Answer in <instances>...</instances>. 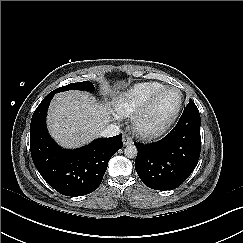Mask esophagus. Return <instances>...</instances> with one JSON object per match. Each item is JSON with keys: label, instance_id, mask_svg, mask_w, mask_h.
Returning a JSON list of instances; mask_svg holds the SVG:
<instances>
[{"label": "esophagus", "instance_id": "1", "mask_svg": "<svg viewBox=\"0 0 243 243\" xmlns=\"http://www.w3.org/2000/svg\"><path fill=\"white\" fill-rule=\"evenodd\" d=\"M122 142L124 145H130L133 143L132 138L126 134L123 135Z\"/></svg>", "mask_w": 243, "mask_h": 243}]
</instances>
